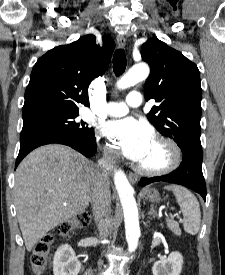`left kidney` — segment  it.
<instances>
[{
    "mask_svg": "<svg viewBox=\"0 0 225 275\" xmlns=\"http://www.w3.org/2000/svg\"><path fill=\"white\" fill-rule=\"evenodd\" d=\"M183 257L179 252H172L167 258H161L153 265V275H180Z\"/></svg>",
    "mask_w": 225,
    "mask_h": 275,
    "instance_id": "1",
    "label": "left kidney"
}]
</instances>
